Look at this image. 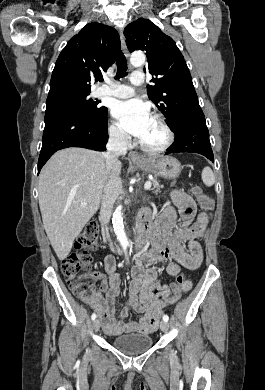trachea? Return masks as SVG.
<instances>
[{
  "label": "trachea",
  "instance_id": "obj_1",
  "mask_svg": "<svg viewBox=\"0 0 265 390\" xmlns=\"http://www.w3.org/2000/svg\"><path fill=\"white\" fill-rule=\"evenodd\" d=\"M117 74L116 78H122L127 75V60L123 54H120L116 59Z\"/></svg>",
  "mask_w": 265,
  "mask_h": 390
}]
</instances>
